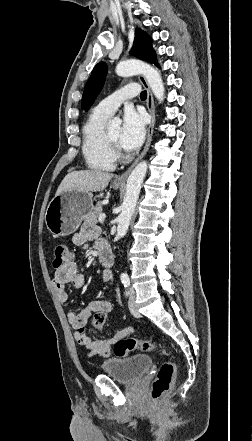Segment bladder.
<instances>
[{
    "label": "bladder",
    "instance_id": "31cf9c89",
    "mask_svg": "<svg viewBox=\"0 0 252 441\" xmlns=\"http://www.w3.org/2000/svg\"><path fill=\"white\" fill-rule=\"evenodd\" d=\"M152 358L146 354L129 357L111 358L101 364L106 375L123 383H134L140 380L151 368Z\"/></svg>",
    "mask_w": 252,
    "mask_h": 441
}]
</instances>
